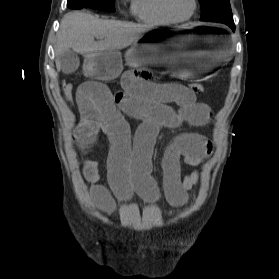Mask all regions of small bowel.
<instances>
[{
    "mask_svg": "<svg viewBox=\"0 0 279 279\" xmlns=\"http://www.w3.org/2000/svg\"><path fill=\"white\" fill-rule=\"evenodd\" d=\"M121 86V90L112 91L103 83L86 82L76 92L80 120L74 138L80 150H93L101 134L110 141L109 186L100 183L96 161H85L82 169L84 179L91 185L92 201L106 212L115 209L110 191L122 200L136 192L148 201H156L160 191L151 175V157L160 129L183 124L203 126L211 116L210 107L197 101L188 87L156 81L147 69L126 70ZM124 115L141 121L133 138ZM212 151V143L198 133H183L167 147L162 161L163 189L171 206L185 204L188 191L199 181L198 170L181 176V160L187 168L196 167Z\"/></svg>",
    "mask_w": 279,
    "mask_h": 279,
    "instance_id": "c3829d8e",
    "label": "small bowel"
}]
</instances>
